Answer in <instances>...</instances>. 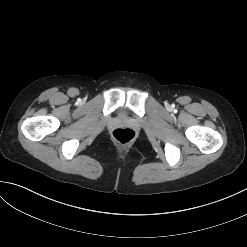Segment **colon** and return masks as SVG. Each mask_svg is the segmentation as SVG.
<instances>
[{
    "label": "colon",
    "instance_id": "colon-1",
    "mask_svg": "<svg viewBox=\"0 0 247 247\" xmlns=\"http://www.w3.org/2000/svg\"><path fill=\"white\" fill-rule=\"evenodd\" d=\"M114 139L122 144H127L135 138V131L130 128H117L112 133Z\"/></svg>",
    "mask_w": 247,
    "mask_h": 247
}]
</instances>
